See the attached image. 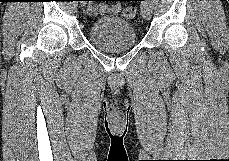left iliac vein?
I'll return each instance as SVG.
<instances>
[{
	"instance_id": "4c4485c4",
	"label": "left iliac vein",
	"mask_w": 229,
	"mask_h": 161,
	"mask_svg": "<svg viewBox=\"0 0 229 161\" xmlns=\"http://www.w3.org/2000/svg\"><path fill=\"white\" fill-rule=\"evenodd\" d=\"M141 13L146 20H149L152 15V6L150 0H144L141 4Z\"/></svg>"
}]
</instances>
